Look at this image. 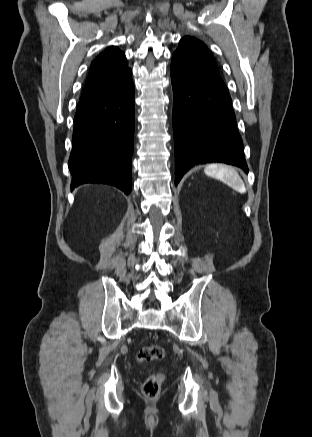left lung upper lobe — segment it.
Here are the masks:
<instances>
[{"mask_svg":"<svg viewBox=\"0 0 312 437\" xmlns=\"http://www.w3.org/2000/svg\"><path fill=\"white\" fill-rule=\"evenodd\" d=\"M175 52L186 55L200 66L207 68L208 70L219 75L215 59L209 53L203 42L197 40L196 38H182L179 42V47Z\"/></svg>","mask_w":312,"mask_h":437,"instance_id":"left-lung-upper-lobe-1","label":"left lung upper lobe"}]
</instances>
